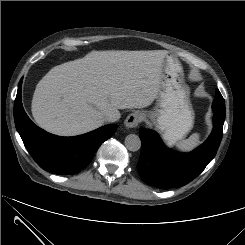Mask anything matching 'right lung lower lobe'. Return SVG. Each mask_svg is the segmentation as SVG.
<instances>
[{
    "mask_svg": "<svg viewBox=\"0 0 245 245\" xmlns=\"http://www.w3.org/2000/svg\"><path fill=\"white\" fill-rule=\"evenodd\" d=\"M20 81L14 103V120L18 133L36 163L44 170L70 175L89 164L100 145L116 131L114 124L106 125L75 137L50 134L36 126L24 111L21 102Z\"/></svg>",
    "mask_w": 245,
    "mask_h": 245,
    "instance_id": "right-lung-lower-lobe-1",
    "label": "right lung lower lobe"
}]
</instances>
